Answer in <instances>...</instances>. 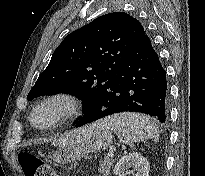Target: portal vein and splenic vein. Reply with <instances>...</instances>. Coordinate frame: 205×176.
<instances>
[{"instance_id":"obj_1","label":"portal vein and splenic vein","mask_w":205,"mask_h":176,"mask_svg":"<svg viewBox=\"0 0 205 176\" xmlns=\"http://www.w3.org/2000/svg\"><path fill=\"white\" fill-rule=\"evenodd\" d=\"M109 157H113L114 156V149H111L110 152L108 153Z\"/></svg>"}]
</instances>
